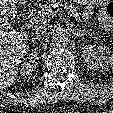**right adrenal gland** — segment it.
<instances>
[{
  "label": "right adrenal gland",
  "mask_w": 113,
  "mask_h": 113,
  "mask_svg": "<svg viewBox=\"0 0 113 113\" xmlns=\"http://www.w3.org/2000/svg\"><path fill=\"white\" fill-rule=\"evenodd\" d=\"M39 39H41V36H40V35H37L36 37H34V38L32 39V42H34L35 40H39Z\"/></svg>",
  "instance_id": "2a0ac1e0"
}]
</instances>
